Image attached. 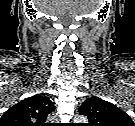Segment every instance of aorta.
Instances as JSON below:
<instances>
[{
  "label": "aorta",
  "mask_w": 135,
  "mask_h": 126,
  "mask_svg": "<svg viewBox=\"0 0 135 126\" xmlns=\"http://www.w3.org/2000/svg\"><path fill=\"white\" fill-rule=\"evenodd\" d=\"M74 121L75 122H85L86 121V117H84V116H76L75 118H74Z\"/></svg>",
  "instance_id": "obj_1"
}]
</instances>
